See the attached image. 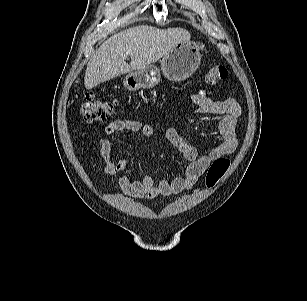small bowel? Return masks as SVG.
<instances>
[{
    "label": "small bowel",
    "instance_id": "obj_1",
    "mask_svg": "<svg viewBox=\"0 0 307 301\" xmlns=\"http://www.w3.org/2000/svg\"><path fill=\"white\" fill-rule=\"evenodd\" d=\"M191 100L195 105V114L223 116L218 124L221 139L209 147H199L190 143L188 138L177 129H166L164 132L166 140L178 150L187 164L172 180L160 179L156 182L151 175H145L142 179L121 175L118 185L124 194L132 198L152 199L189 190L214 160L236 151L238 137L235 126L237 118L241 115L240 104L232 98L213 99L204 90L193 93ZM122 132L139 134L145 138H152L156 134L150 125L137 120H115L108 124L99 142L104 159L103 171L107 176L122 172L126 168L124 159L113 161L111 157L112 136Z\"/></svg>",
    "mask_w": 307,
    "mask_h": 301
}]
</instances>
